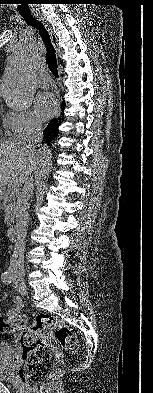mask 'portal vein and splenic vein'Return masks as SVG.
<instances>
[{
	"instance_id": "18ae733b",
	"label": "portal vein and splenic vein",
	"mask_w": 153,
	"mask_h": 393,
	"mask_svg": "<svg viewBox=\"0 0 153 393\" xmlns=\"http://www.w3.org/2000/svg\"><path fill=\"white\" fill-rule=\"evenodd\" d=\"M11 188H12L13 192H17L19 190V188H20V185L18 183H15V184L12 185Z\"/></svg>"
}]
</instances>
